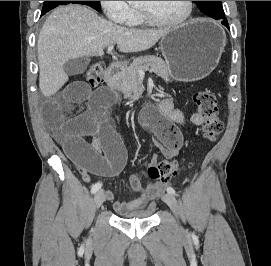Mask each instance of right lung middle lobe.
<instances>
[{"mask_svg":"<svg viewBox=\"0 0 271 266\" xmlns=\"http://www.w3.org/2000/svg\"><path fill=\"white\" fill-rule=\"evenodd\" d=\"M70 3L88 5L97 11H99L101 8L100 1H44L42 14H45L49 10H51L59 5H65V4H70Z\"/></svg>","mask_w":271,"mask_h":266,"instance_id":"1","label":"right lung middle lobe"}]
</instances>
